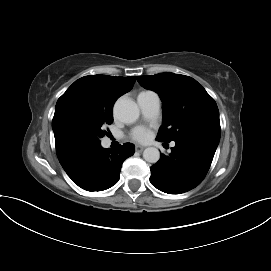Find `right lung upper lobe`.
<instances>
[{
	"instance_id": "obj_1",
	"label": "right lung upper lobe",
	"mask_w": 271,
	"mask_h": 271,
	"mask_svg": "<svg viewBox=\"0 0 271 271\" xmlns=\"http://www.w3.org/2000/svg\"><path fill=\"white\" fill-rule=\"evenodd\" d=\"M135 82L134 77H113L107 75L85 76L75 81L58 99L52 121L54 130L56 153L60 163L80 152L67 144L56 134L53 126L60 111L72 102H83L103 109L113 108L118 97L130 91Z\"/></svg>"
}]
</instances>
